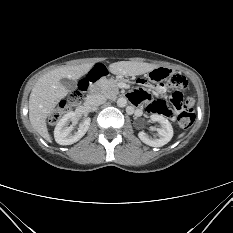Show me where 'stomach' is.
<instances>
[{
	"instance_id": "stomach-1",
	"label": "stomach",
	"mask_w": 233,
	"mask_h": 233,
	"mask_svg": "<svg viewBox=\"0 0 233 233\" xmlns=\"http://www.w3.org/2000/svg\"><path fill=\"white\" fill-rule=\"evenodd\" d=\"M171 70L165 67H157L148 73V78L152 82H156L168 76Z\"/></svg>"
}]
</instances>
